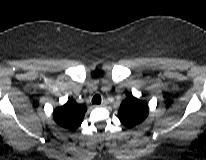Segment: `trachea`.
Instances as JSON below:
<instances>
[{
	"mask_svg": "<svg viewBox=\"0 0 206 160\" xmlns=\"http://www.w3.org/2000/svg\"><path fill=\"white\" fill-rule=\"evenodd\" d=\"M92 103L93 104H100L101 103V96L99 94H96L93 98H92Z\"/></svg>",
	"mask_w": 206,
	"mask_h": 160,
	"instance_id": "1",
	"label": "trachea"
}]
</instances>
